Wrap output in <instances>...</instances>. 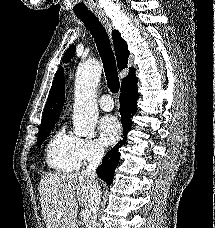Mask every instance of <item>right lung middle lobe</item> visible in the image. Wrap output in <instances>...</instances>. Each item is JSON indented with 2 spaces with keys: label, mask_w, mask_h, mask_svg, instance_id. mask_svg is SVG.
<instances>
[{
  "label": "right lung middle lobe",
  "mask_w": 215,
  "mask_h": 228,
  "mask_svg": "<svg viewBox=\"0 0 215 228\" xmlns=\"http://www.w3.org/2000/svg\"><path fill=\"white\" fill-rule=\"evenodd\" d=\"M56 122L41 124L40 131L37 139L38 147L45 141L49 133L51 132L52 128L54 127Z\"/></svg>",
  "instance_id": "obj_1"
}]
</instances>
